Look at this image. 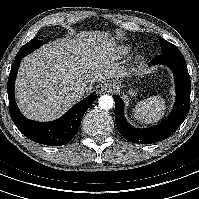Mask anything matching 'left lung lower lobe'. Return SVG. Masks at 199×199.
I'll return each mask as SVG.
<instances>
[{
  "mask_svg": "<svg viewBox=\"0 0 199 199\" xmlns=\"http://www.w3.org/2000/svg\"><path fill=\"white\" fill-rule=\"evenodd\" d=\"M165 64L169 66L175 78L176 102L170 116L156 127L137 129L132 127L123 115V101L114 96L115 123L120 134L130 142L148 144L162 141L171 136L182 124L190 108L191 82L186 62L179 51L162 52L153 58L149 65Z\"/></svg>",
  "mask_w": 199,
  "mask_h": 199,
  "instance_id": "left-lung-lower-lobe-1",
  "label": "left lung lower lobe"
}]
</instances>
